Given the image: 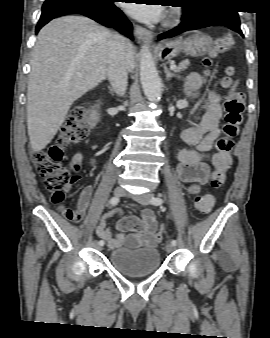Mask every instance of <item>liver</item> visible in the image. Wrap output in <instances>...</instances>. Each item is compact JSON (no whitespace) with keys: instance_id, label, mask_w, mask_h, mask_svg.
<instances>
[{"instance_id":"liver-1","label":"liver","mask_w":270,"mask_h":338,"mask_svg":"<svg viewBox=\"0 0 270 338\" xmlns=\"http://www.w3.org/2000/svg\"><path fill=\"white\" fill-rule=\"evenodd\" d=\"M114 34L83 16L45 25L31 57L27 128L31 148L44 149L57 134L72 104L106 79ZM126 66L135 68V48L126 41Z\"/></svg>"}]
</instances>
